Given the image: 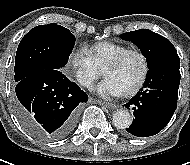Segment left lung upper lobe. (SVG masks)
I'll list each match as a JSON object with an SVG mask.
<instances>
[{"mask_svg":"<svg viewBox=\"0 0 190 165\" xmlns=\"http://www.w3.org/2000/svg\"><path fill=\"white\" fill-rule=\"evenodd\" d=\"M120 37L131 41L141 50L146 57L148 68L161 61L178 57L175 47L168 39L148 29L127 32Z\"/></svg>","mask_w":190,"mask_h":165,"instance_id":"obj_1","label":"left lung upper lobe"}]
</instances>
